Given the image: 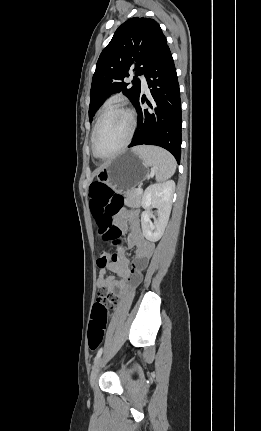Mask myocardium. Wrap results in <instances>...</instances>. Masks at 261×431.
Segmentation results:
<instances>
[{"mask_svg":"<svg viewBox=\"0 0 261 431\" xmlns=\"http://www.w3.org/2000/svg\"><path fill=\"white\" fill-rule=\"evenodd\" d=\"M114 109H119V110H121L127 114L128 118H129V123H130L129 132H128V135H127L125 141L122 143V145L117 150H115L113 153H111L109 155L102 156L97 152V149H96L97 133H98V130L100 128V125H101L102 120H103L104 116L106 115V113H108L109 111L114 110ZM135 129H136V117H135V114L131 108H129L128 106H126L122 103H114V104L108 105L107 107H105L101 111V113H100V115L96 121V124L94 126L93 132H92L91 147H92V151H93L94 156L99 158V159L105 160V159H109V158H112V157L120 154L130 144V142L133 138Z\"/></svg>","mask_w":261,"mask_h":431,"instance_id":"myocardium-1","label":"myocardium"}]
</instances>
